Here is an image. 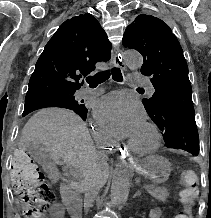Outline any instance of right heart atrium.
Returning <instances> with one entry per match:
<instances>
[{"label":"right heart atrium","mask_w":211,"mask_h":218,"mask_svg":"<svg viewBox=\"0 0 211 218\" xmlns=\"http://www.w3.org/2000/svg\"><path fill=\"white\" fill-rule=\"evenodd\" d=\"M94 134V137L96 139V141L99 143V144H107V143H110V140L109 138L107 137V135L102 132L101 130H95L93 132Z\"/></svg>","instance_id":"obj_1"}]
</instances>
